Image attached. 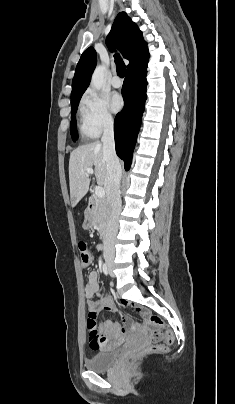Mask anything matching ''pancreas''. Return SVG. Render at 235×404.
I'll list each match as a JSON object with an SVG mask.
<instances>
[{
  "label": "pancreas",
  "mask_w": 235,
  "mask_h": 404,
  "mask_svg": "<svg viewBox=\"0 0 235 404\" xmlns=\"http://www.w3.org/2000/svg\"><path fill=\"white\" fill-rule=\"evenodd\" d=\"M109 207L106 199L96 198L94 209L91 211V221L104 234L108 220Z\"/></svg>",
  "instance_id": "1"
}]
</instances>
